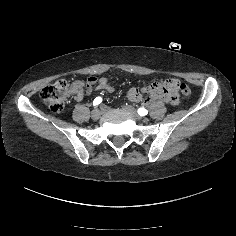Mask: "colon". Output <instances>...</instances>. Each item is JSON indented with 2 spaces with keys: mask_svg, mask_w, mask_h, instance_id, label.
Instances as JSON below:
<instances>
[{
  "mask_svg": "<svg viewBox=\"0 0 236 236\" xmlns=\"http://www.w3.org/2000/svg\"><path fill=\"white\" fill-rule=\"evenodd\" d=\"M176 87L180 90L183 98H188L191 89L185 83L174 81ZM75 89V86L67 80H58L46 87L40 93L42 101L54 113H61L64 110L68 95Z\"/></svg>",
  "mask_w": 236,
  "mask_h": 236,
  "instance_id": "obj_1",
  "label": "colon"
}]
</instances>
